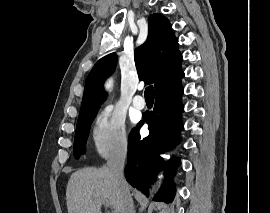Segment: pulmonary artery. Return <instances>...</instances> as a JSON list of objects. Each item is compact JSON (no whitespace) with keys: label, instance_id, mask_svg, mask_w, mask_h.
Masks as SVG:
<instances>
[{"label":"pulmonary artery","instance_id":"1","mask_svg":"<svg viewBox=\"0 0 270 213\" xmlns=\"http://www.w3.org/2000/svg\"><path fill=\"white\" fill-rule=\"evenodd\" d=\"M133 105L135 108L137 109H143L145 107V100L144 98L141 96V95H136L134 98H133Z\"/></svg>","mask_w":270,"mask_h":213}]
</instances>
